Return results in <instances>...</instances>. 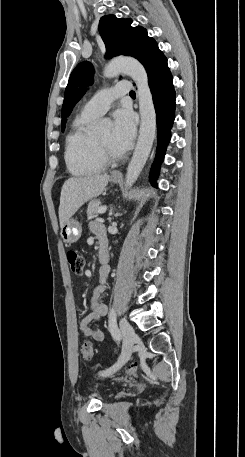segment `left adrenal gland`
<instances>
[{
    "mask_svg": "<svg viewBox=\"0 0 245 457\" xmlns=\"http://www.w3.org/2000/svg\"><path fill=\"white\" fill-rule=\"evenodd\" d=\"M113 210H114V208H111V210L109 212V214H110L109 218H111V214H113Z\"/></svg>",
    "mask_w": 245,
    "mask_h": 457,
    "instance_id": "1",
    "label": "left adrenal gland"
}]
</instances>
